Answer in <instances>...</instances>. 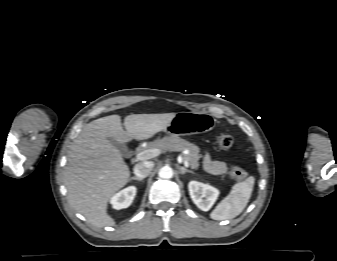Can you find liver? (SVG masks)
I'll return each instance as SVG.
<instances>
[{
    "label": "liver",
    "mask_w": 337,
    "mask_h": 261,
    "mask_svg": "<svg viewBox=\"0 0 337 261\" xmlns=\"http://www.w3.org/2000/svg\"><path fill=\"white\" fill-rule=\"evenodd\" d=\"M175 113L131 114L123 130L119 115L102 117L84 126L71 146L64 173L68 201L96 227L112 226L107 214L111 197L126 185L128 165L120 151L108 140L124 144L133 139L146 140L163 131Z\"/></svg>",
    "instance_id": "1"
}]
</instances>
